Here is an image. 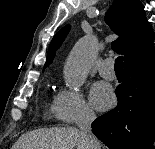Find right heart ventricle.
<instances>
[{
    "mask_svg": "<svg viewBox=\"0 0 155 149\" xmlns=\"http://www.w3.org/2000/svg\"><path fill=\"white\" fill-rule=\"evenodd\" d=\"M50 112L55 113V106H54V101L50 106Z\"/></svg>",
    "mask_w": 155,
    "mask_h": 149,
    "instance_id": "e07e8e85",
    "label": "right heart ventricle"
}]
</instances>
